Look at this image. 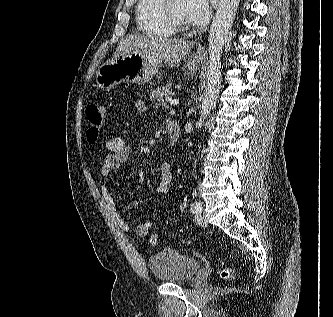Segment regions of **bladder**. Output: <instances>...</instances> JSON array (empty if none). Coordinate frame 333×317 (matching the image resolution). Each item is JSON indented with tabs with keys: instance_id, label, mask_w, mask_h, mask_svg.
<instances>
[{
	"instance_id": "obj_1",
	"label": "bladder",
	"mask_w": 333,
	"mask_h": 317,
	"mask_svg": "<svg viewBox=\"0 0 333 317\" xmlns=\"http://www.w3.org/2000/svg\"><path fill=\"white\" fill-rule=\"evenodd\" d=\"M154 278L163 283L182 284L191 281L199 271L200 262L171 249L160 250L148 259Z\"/></svg>"
}]
</instances>
